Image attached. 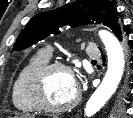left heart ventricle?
<instances>
[{
  "mask_svg": "<svg viewBox=\"0 0 133 118\" xmlns=\"http://www.w3.org/2000/svg\"><path fill=\"white\" fill-rule=\"evenodd\" d=\"M72 75L64 70L51 72L44 83V98L50 105L61 106L69 103L76 95L72 86Z\"/></svg>",
  "mask_w": 133,
  "mask_h": 118,
  "instance_id": "1",
  "label": "left heart ventricle"
}]
</instances>
